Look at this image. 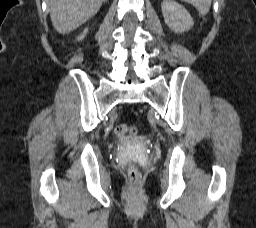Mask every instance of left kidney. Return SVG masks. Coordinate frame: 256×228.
I'll return each mask as SVG.
<instances>
[{
	"mask_svg": "<svg viewBox=\"0 0 256 228\" xmlns=\"http://www.w3.org/2000/svg\"><path fill=\"white\" fill-rule=\"evenodd\" d=\"M161 9L165 23L175 33H183L193 27L194 22L191 15L179 3L173 0H164Z\"/></svg>",
	"mask_w": 256,
	"mask_h": 228,
	"instance_id": "obj_1",
	"label": "left kidney"
}]
</instances>
